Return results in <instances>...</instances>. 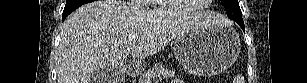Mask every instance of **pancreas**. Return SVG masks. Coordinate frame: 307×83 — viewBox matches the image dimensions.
Segmentation results:
<instances>
[{"label": "pancreas", "instance_id": "pancreas-1", "mask_svg": "<svg viewBox=\"0 0 307 83\" xmlns=\"http://www.w3.org/2000/svg\"><path fill=\"white\" fill-rule=\"evenodd\" d=\"M175 76V72L164 67L155 66L151 70L143 73L140 77V83H145V80L153 78H172Z\"/></svg>", "mask_w": 307, "mask_h": 83}]
</instances>
